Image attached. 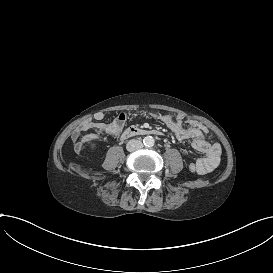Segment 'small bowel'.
<instances>
[{"label":"small bowel","instance_id":"c3829d8e","mask_svg":"<svg viewBox=\"0 0 273 273\" xmlns=\"http://www.w3.org/2000/svg\"><path fill=\"white\" fill-rule=\"evenodd\" d=\"M152 117L165 125L178 140H192V147L204 154V158L196 162V171L204 175L214 170L220 161L221 146L218 143L210 142L205 133L207 128L200 122L184 114H154ZM104 113L96 112L93 115L94 127L87 131L86 141L94 140L100 133H107L112 136H119L128 122V115L120 112L110 122H104Z\"/></svg>","mask_w":273,"mask_h":273}]
</instances>
